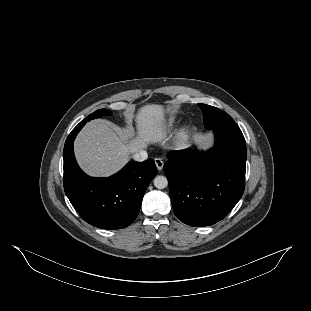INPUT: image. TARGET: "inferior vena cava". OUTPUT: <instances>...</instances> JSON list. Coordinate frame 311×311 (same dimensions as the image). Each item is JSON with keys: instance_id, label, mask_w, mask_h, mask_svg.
I'll list each match as a JSON object with an SVG mask.
<instances>
[{"instance_id": "inferior-vena-cava-1", "label": "inferior vena cava", "mask_w": 311, "mask_h": 311, "mask_svg": "<svg viewBox=\"0 0 311 311\" xmlns=\"http://www.w3.org/2000/svg\"><path fill=\"white\" fill-rule=\"evenodd\" d=\"M148 158L147 151L141 150L139 152L134 153L133 159L137 162L145 161Z\"/></svg>"}]
</instances>
